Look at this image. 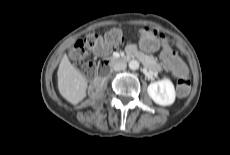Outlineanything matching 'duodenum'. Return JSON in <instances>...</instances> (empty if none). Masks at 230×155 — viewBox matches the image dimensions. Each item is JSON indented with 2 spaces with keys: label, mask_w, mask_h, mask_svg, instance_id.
Returning a JSON list of instances; mask_svg holds the SVG:
<instances>
[{
  "label": "duodenum",
  "mask_w": 230,
  "mask_h": 155,
  "mask_svg": "<svg viewBox=\"0 0 230 155\" xmlns=\"http://www.w3.org/2000/svg\"><path fill=\"white\" fill-rule=\"evenodd\" d=\"M134 55H135V52L129 51L127 57H125V58L118 57V56H112V57H108V58L104 59L100 65L99 74L104 75L112 65L116 64L117 62L129 60Z\"/></svg>",
  "instance_id": "duodenum-1"
}]
</instances>
